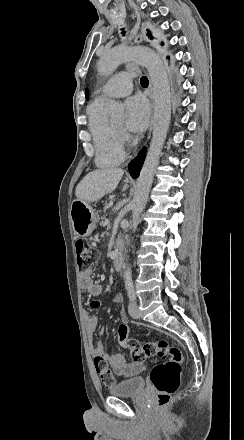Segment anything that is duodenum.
<instances>
[{
  "instance_id": "410a0bca",
  "label": "duodenum",
  "mask_w": 244,
  "mask_h": 440,
  "mask_svg": "<svg viewBox=\"0 0 244 440\" xmlns=\"http://www.w3.org/2000/svg\"><path fill=\"white\" fill-rule=\"evenodd\" d=\"M124 256L121 250H116L113 258V267L116 272H121L123 267Z\"/></svg>"
}]
</instances>
